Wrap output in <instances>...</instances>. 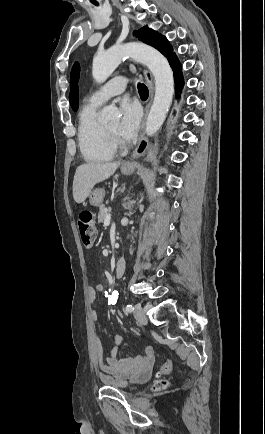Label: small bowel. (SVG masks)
Masks as SVG:
<instances>
[{"label":"small bowel","mask_w":265,"mask_h":434,"mask_svg":"<svg viewBox=\"0 0 265 434\" xmlns=\"http://www.w3.org/2000/svg\"><path fill=\"white\" fill-rule=\"evenodd\" d=\"M102 291H104V286L101 283L89 287L87 291L89 301L93 303L96 300L97 294ZM116 313L121 318L124 316L121 310H118ZM91 318L96 321L98 313L92 311ZM116 343L117 347L107 352L100 337L97 334L93 337L94 360L102 371L100 376L106 382V385L108 387H119L127 383H144L148 381L152 376L150 366L154 359V348L149 345L140 356L118 358L124 341L121 338H116Z\"/></svg>","instance_id":"1"}]
</instances>
